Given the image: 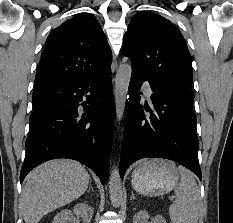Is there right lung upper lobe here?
<instances>
[{"instance_id":"1","label":"right lung upper lobe","mask_w":233,"mask_h":223,"mask_svg":"<svg viewBox=\"0 0 233 223\" xmlns=\"http://www.w3.org/2000/svg\"><path fill=\"white\" fill-rule=\"evenodd\" d=\"M112 53L98 21L77 15L54 29L46 40L35 88L93 77L111 68Z\"/></svg>"}]
</instances>
